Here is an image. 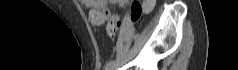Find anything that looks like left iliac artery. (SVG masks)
I'll return each instance as SVG.
<instances>
[{"instance_id": "obj_1", "label": "left iliac artery", "mask_w": 238, "mask_h": 70, "mask_svg": "<svg viewBox=\"0 0 238 70\" xmlns=\"http://www.w3.org/2000/svg\"><path fill=\"white\" fill-rule=\"evenodd\" d=\"M136 37H137V38H140V37H141V34H140V33H137V34H136ZM137 38L135 39L136 41L138 40ZM114 64H115V61H114V60L109 61V62L107 63V65H106V69H107V70H110V69L114 66Z\"/></svg>"}]
</instances>
